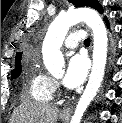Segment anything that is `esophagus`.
<instances>
[{
  "mask_svg": "<svg viewBox=\"0 0 122 123\" xmlns=\"http://www.w3.org/2000/svg\"><path fill=\"white\" fill-rule=\"evenodd\" d=\"M71 110H72V107L69 106V107H66L62 110L61 114L63 116H69L71 114Z\"/></svg>",
  "mask_w": 122,
  "mask_h": 123,
  "instance_id": "34e87169",
  "label": "esophagus"
}]
</instances>
